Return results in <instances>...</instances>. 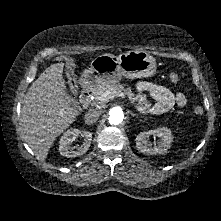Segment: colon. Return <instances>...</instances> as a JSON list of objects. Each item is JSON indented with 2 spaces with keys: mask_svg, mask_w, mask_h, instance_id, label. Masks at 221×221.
Segmentation results:
<instances>
[{
  "mask_svg": "<svg viewBox=\"0 0 221 221\" xmlns=\"http://www.w3.org/2000/svg\"><path fill=\"white\" fill-rule=\"evenodd\" d=\"M169 78H170L171 82H173V83H176L179 81V76L175 73L170 74ZM72 89L75 91V86L73 83H72ZM203 113H204V110L201 106L194 107V114L196 116H201V115H203Z\"/></svg>",
  "mask_w": 221,
  "mask_h": 221,
  "instance_id": "colon-1",
  "label": "colon"
}]
</instances>
